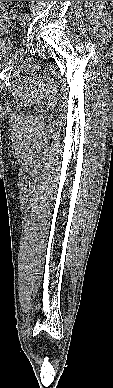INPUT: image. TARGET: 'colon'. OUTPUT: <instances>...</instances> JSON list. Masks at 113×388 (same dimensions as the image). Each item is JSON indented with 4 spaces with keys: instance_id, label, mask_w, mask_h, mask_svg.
Returning a JSON list of instances; mask_svg holds the SVG:
<instances>
[{
    "instance_id": "obj_1",
    "label": "colon",
    "mask_w": 113,
    "mask_h": 388,
    "mask_svg": "<svg viewBox=\"0 0 113 388\" xmlns=\"http://www.w3.org/2000/svg\"><path fill=\"white\" fill-rule=\"evenodd\" d=\"M14 16H15V13H12V14H10V15H9V17H8V18H10V19H11V18H13Z\"/></svg>"
}]
</instances>
